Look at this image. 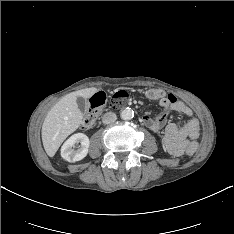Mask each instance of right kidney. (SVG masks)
Listing matches in <instances>:
<instances>
[{
  "instance_id": "ca27d5eb",
  "label": "right kidney",
  "mask_w": 234,
  "mask_h": 234,
  "mask_svg": "<svg viewBox=\"0 0 234 234\" xmlns=\"http://www.w3.org/2000/svg\"><path fill=\"white\" fill-rule=\"evenodd\" d=\"M80 145L75 149L76 145ZM90 141L87 135L76 133L69 137L61 147V156L68 162H76L87 156Z\"/></svg>"
}]
</instances>
